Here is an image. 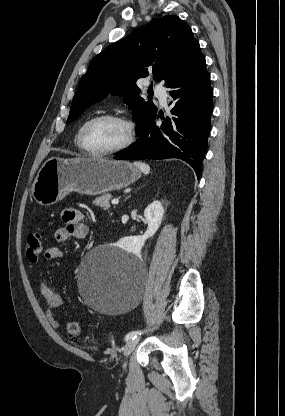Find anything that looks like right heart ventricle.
<instances>
[{"label":"right heart ventricle","mask_w":285,"mask_h":416,"mask_svg":"<svg viewBox=\"0 0 285 416\" xmlns=\"http://www.w3.org/2000/svg\"><path fill=\"white\" fill-rule=\"evenodd\" d=\"M78 135H79V131L77 132V134L74 138V143H75V145L77 146L78 149H81L80 146H79V143H78Z\"/></svg>","instance_id":"e07e8e85"}]
</instances>
